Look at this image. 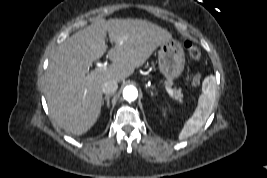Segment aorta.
Masks as SVG:
<instances>
[{
    "instance_id": "obj_1",
    "label": "aorta",
    "mask_w": 267,
    "mask_h": 178,
    "mask_svg": "<svg viewBox=\"0 0 267 178\" xmlns=\"http://www.w3.org/2000/svg\"><path fill=\"white\" fill-rule=\"evenodd\" d=\"M138 97V90L134 86H126L123 89V98L127 101H134Z\"/></svg>"
}]
</instances>
